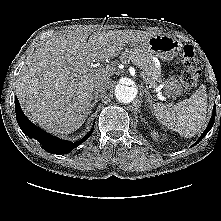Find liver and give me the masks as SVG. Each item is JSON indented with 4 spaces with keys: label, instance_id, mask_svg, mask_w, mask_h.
<instances>
[{
    "label": "liver",
    "instance_id": "obj_1",
    "mask_svg": "<svg viewBox=\"0 0 221 221\" xmlns=\"http://www.w3.org/2000/svg\"><path fill=\"white\" fill-rule=\"evenodd\" d=\"M153 33L140 30H69L49 38L26 60L16 94L25 115L52 134H70L90 114L93 93L109 88L114 65L92 64L113 59ZM89 37V39H88ZM88 39V41H87Z\"/></svg>",
    "mask_w": 221,
    "mask_h": 221
}]
</instances>
